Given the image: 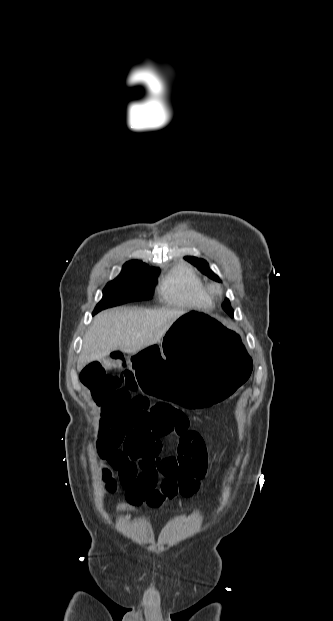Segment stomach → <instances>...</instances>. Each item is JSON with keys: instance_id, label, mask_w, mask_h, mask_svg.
Instances as JSON below:
<instances>
[{"instance_id": "obj_1", "label": "stomach", "mask_w": 333, "mask_h": 621, "mask_svg": "<svg viewBox=\"0 0 333 621\" xmlns=\"http://www.w3.org/2000/svg\"><path fill=\"white\" fill-rule=\"evenodd\" d=\"M146 396L168 397L181 413H214L244 389L252 352L239 330L213 314L180 316L160 344L150 340L130 355Z\"/></svg>"}]
</instances>
